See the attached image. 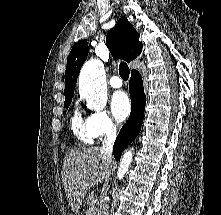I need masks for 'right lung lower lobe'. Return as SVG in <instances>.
<instances>
[{
    "mask_svg": "<svg viewBox=\"0 0 221 215\" xmlns=\"http://www.w3.org/2000/svg\"><path fill=\"white\" fill-rule=\"evenodd\" d=\"M129 89L131 113L114 143L113 154L116 160L120 159V155L125 147L139 134L143 122L146 96L143 89L141 75L136 70L131 71Z\"/></svg>",
    "mask_w": 221,
    "mask_h": 215,
    "instance_id": "98d812e1",
    "label": "right lung lower lobe"
}]
</instances>
